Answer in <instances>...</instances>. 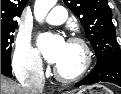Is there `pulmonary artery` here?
<instances>
[{
	"instance_id": "obj_1",
	"label": "pulmonary artery",
	"mask_w": 121,
	"mask_h": 94,
	"mask_svg": "<svg viewBox=\"0 0 121 94\" xmlns=\"http://www.w3.org/2000/svg\"><path fill=\"white\" fill-rule=\"evenodd\" d=\"M67 10L62 6L54 7L51 12L45 18V21L49 24L60 25L67 19Z\"/></svg>"
}]
</instances>
